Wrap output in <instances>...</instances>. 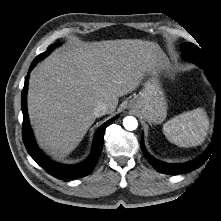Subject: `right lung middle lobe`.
<instances>
[{
  "mask_svg": "<svg viewBox=\"0 0 221 221\" xmlns=\"http://www.w3.org/2000/svg\"><path fill=\"white\" fill-rule=\"evenodd\" d=\"M57 45H50L49 48L47 49V51H45L44 53H41L40 55H38L41 58L46 57L47 55H49L51 53V51L56 47Z\"/></svg>",
  "mask_w": 221,
  "mask_h": 221,
  "instance_id": "right-lung-middle-lobe-1",
  "label": "right lung middle lobe"
}]
</instances>
